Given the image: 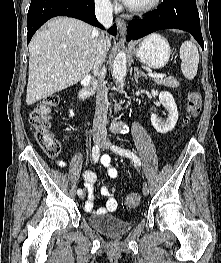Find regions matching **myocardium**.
<instances>
[{
    "mask_svg": "<svg viewBox=\"0 0 221 263\" xmlns=\"http://www.w3.org/2000/svg\"><path fill=\"white\" fill-rule=\"evenodd\" d=\"M160 3L161 0H150L148 3L143 5H138V6L127 5V8L129 11L133 13L144 14L156 9Z\"/></svg>",
    "mask_w": 221,
    "mask_h": 263,
    "instance_id": "obj_1",
    "label": "myocardium"
}]
</instances>
